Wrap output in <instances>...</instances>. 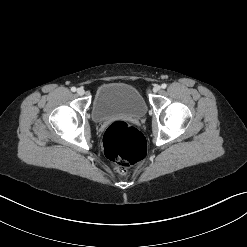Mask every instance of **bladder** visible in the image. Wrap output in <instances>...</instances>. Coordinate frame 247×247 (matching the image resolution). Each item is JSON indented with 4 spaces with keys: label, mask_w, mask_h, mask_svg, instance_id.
<instances>
[{
    "label": "bladder",
    "mask_w": 247,
    "mask_h": 247,
    "mask_svg": "<svg viewBox=\"0 0 247 247\" xmlns=\"http://www.w3.org/2000/svg\"><path fill=\"white\" fill-rule=\"evenodd\" d=\"M146 111L147 105L141 93L125 83L100 85L92 103V118L98 123L119 116L140 118Z\"/></svg>",
    "instance_id": "1"
}]
</instances>
